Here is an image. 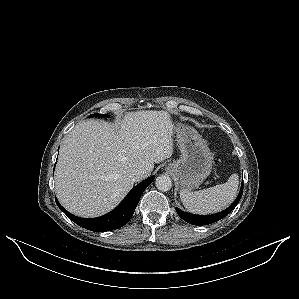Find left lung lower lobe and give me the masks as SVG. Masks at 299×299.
I'll return each instance as SVG.
<instances>
[{
    "instance_id": "obj_1",
    "label": "left lung lower lobe",
    "mask_w": 299,
    "mask_h": 299,
    "mask_svg": "<svg viewBox=\"0 0 299 299\" xmlns=\"http://www.w3.org/2000/svg\"><path fill=\"white\" fill-rule=\"evenodd\" d=\"M243 193V185L241 187V190L239 192V195L237 199L224 211H221L219 213L213 214V215H194V214H189L181 211L179 208H176V211L178 215L186 222L193 224V225H208L211 223H214L225 216H227L239 203V199L241 198Z\"/></svg>"
}]
</instances>
